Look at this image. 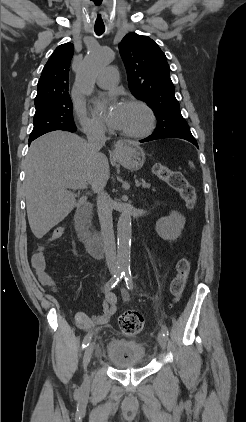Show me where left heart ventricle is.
<instances>
[{
  "instance_id": "b2bd125f",
  "label": "left heart ventricle",
  "mask_w": 246,
  "mask_h": 422,
  "mask_svg": "<svg viewBox=\"0 0 246 422\" xmlns=\"http://www.w3.org/2000/svg\"><path fill=\"white\" fill-rule=\"evenodd\" d=\"M146 122V114L140 107L124 104L121 130L136 132L143 129Z\"/></svg>"
}]
</instances>
